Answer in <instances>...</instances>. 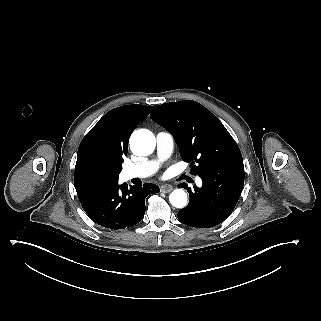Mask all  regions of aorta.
<instances>
[{
  "instance_id": "aorta-1",
  "label": "aorta",
  "mask_w": 321,
  "mask_h": 321,
  "mask_svg": "<svg viewBox=\"0 0 321 321\" xmlns=\"http://www.w3.org/2000/svg\"><path fill=\"white\" fill-rule=\"evenodd\" d=\"M156 146V139L152 132L146 129L135 131L130 138V149L138 156L151 154ZM169 201L176 208H183L187 204V194L182 189H175L169 195Z\"/></svg>"
}]
</instances>
